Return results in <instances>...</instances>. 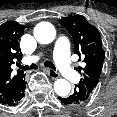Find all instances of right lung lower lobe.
Masks as SVG:
<instances>
[{
	"label": "right lung lower lobe",
	"mask_w": 117,
	"mask_h": 117,
	"mask_svg": "<svg viewBox=\"0 0 117 117\" xmlns=\"http://www.w3.org/2000/svg\"><path fill=\"white\" fill-rule=\"evenodd\" d=\"M25 88H26V82L24 81V79H21L12 88L9 95L0 101V104L5 106L17 105L20 102V100L24 97Z\"/></svg>",
	"instance_id": "1"
}]
</instances>
